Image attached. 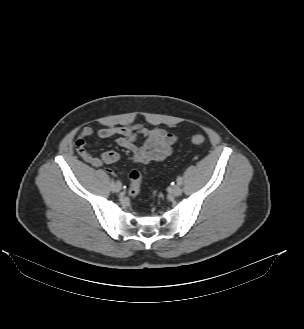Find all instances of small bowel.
<instances>
[{"instance_id": "small-bowel-1", "label": "small bowel", "mask_w": 304, "mask_h": 329, "mask_svg": "<svg viewBox=\"0 0 304 329\" xmlns=\"http://www.w3.org/2000/svg\"><path fill=\"white\" fill-rule=\"evenodd\" d=\"M92 134L93 129L88 126L80 131L75 141V148L80 157L96 167L117 162L120 156L115 151H106L99 157L87 152L86 139ZM97 136L102 139L114 138L117 145L131 152L134 163L142 164L163 161L171 154L172 147L177 141L175 135L162 128H147L140 124L104 127L97 131ZM138 136L145 139L144 144L136 143Z\"/></svg>"}]
</instances>
